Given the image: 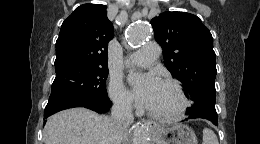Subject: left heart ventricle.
I'll return each mask as SVG.
<instances>
[{"label": "left heart ventricle", "instance_id": "obj_1", "mask_svg": "<svg viewBox=\"0 0 260 144\" xmlns=\"http://www.w3.org/2000/svg\"><path fill=\"white\" fill-rule=\"evenodd\" d=\"M148 107L159 113H174L180 107V100L171 86L159 82L155 96Z\"/></svg>", "mask_w": 260, "mask_h": 144}]
</instances>
